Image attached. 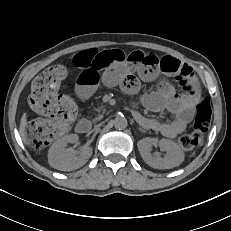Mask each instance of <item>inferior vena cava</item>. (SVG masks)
Masks as SVG:
<instances>
[{"instance_id":"inferior-vena-cava-1","label":"inferior vena cava","mask_w":231,"mask_h":231,"mask_svg":"<svg viewBox=\"0 0 231 231\" xmlns=\"http://www.w3.org/2000/svg\"><path fill=\"white\" fill-rule=\"evenodd\" d=\"M102 126H103V122H102V121H99L98 123H96V124L94 125V129H95V130H98L99 127H102Z\"/></svg>"}]
</instances>
